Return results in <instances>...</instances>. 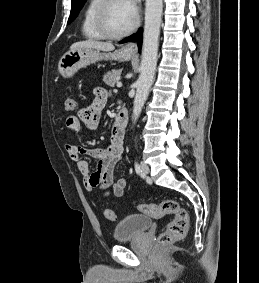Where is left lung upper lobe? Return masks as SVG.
<instances>
[{
  "instance_id": "1",
  "label": "left lung upper lobe",
  "mask_w": 259,
  "mask_h": 283,
  "mask_svg": "<svg viewBox=\"0 0 259 283\" xmlns=\"http://www.w3.org/2000/svg\"><path fill=\"white\" fill-rule=\"evenodd\" d=\"M86 0H72L71 2V14L68 20V24L71 23L78 15L80 9L85 4Z\"/></svg>"
}]
</instances>
